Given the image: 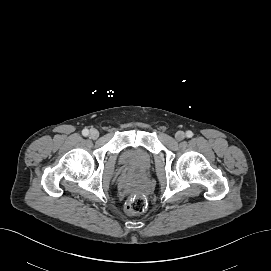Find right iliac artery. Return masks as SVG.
<instances>
[{"label":"right iliac artery","instance_id":"82829eb1","mask_svg":"<svg viewBox=\"0 0 271 271\" xmlns=\"http://www.w3.org/2000/svg\"><path fill=\"white\" fill-rule=\"evenodd\" d=\"M82 134H83V136H88L89 130H88V129H84V130L82 131Z\"/></svg>","mask_w":271,"mask_h":271}]
</instances>
